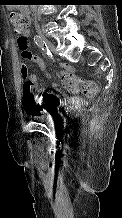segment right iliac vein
<instances>
[{
    "instance_id": "1",
    "label": "right iliac vein",
    "mask_w": 122,
    "mask_h": 218,
    "mask_svg": "<svg viewBox=\"0 0 122 218\" xmlns=\"http://www.w3.org/2000/svg\"><path fill=\"white\" fill-rule=\"evenodd\" d=\"M42 39L45 41L47 47H48L53 53H56V49H55L54 44H53L50 40H48L47 38H45V37H42Z\"/></svg>"
}]
</instances>
